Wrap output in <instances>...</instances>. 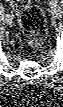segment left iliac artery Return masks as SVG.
<instances>
[{"label":"left iliac artery","instance_id":"left-iliac-artery-1","mask_svg":"<svg viewBox=\"0 0 63 107\" xmlns=\"http://www.w3.org/2000/svg\"><path fill=\"white\" fill-rule=\"evenodd\" d=\"M56 5H57V1L52 0V1L50 2V6H51V7H56Z\"/></svg>","mask_w":63,"mask_h":107}]
</instances>
